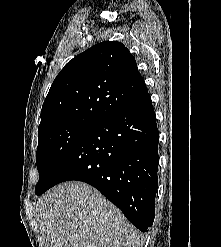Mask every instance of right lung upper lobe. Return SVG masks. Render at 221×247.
Segmentation results:
<instances>
[{
  "instance_id": "1",
  "label": "right lung upper lobe",
  "mask_w": 221,
  "mask_h": 247,
  "mask_svg": "<svg viewBox=\"0 0 221 247\" xmlns=\"http://www.w3.org/2000/svg\"><path fill=\"white\" fill-rule=\"evenodd\" d=\"M148 93L135 58L122 43H98L70 60L55 78L38 132L68 123L98 124Z\"/></svg>"
}]
</instances>
